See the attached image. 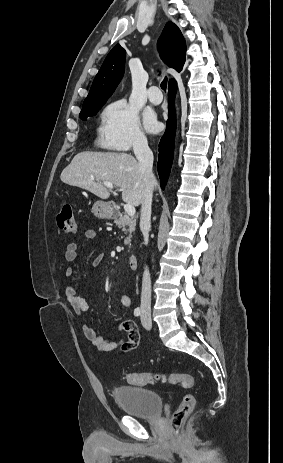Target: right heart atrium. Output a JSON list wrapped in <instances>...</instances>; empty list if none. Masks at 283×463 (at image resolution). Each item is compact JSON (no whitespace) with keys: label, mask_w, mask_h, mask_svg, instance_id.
<instances>
[{"label":"right heart atrium","mask_w":283,"mask_h":463,"mask_svg":"<svg viewBox=\"0 0 283 463\" xmlns=\"http://www.w3.org/2000/svg\"><path fill=\"white\" fill-rule=\"evenodd\" d=\"M99 138L101 145L115 150L125 151L147 146L138 111L122 99L109 103L103 109Z\"/></svg>","instance_id":"right-heart-atrium-1"}]
</instances>
